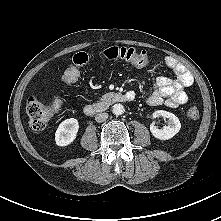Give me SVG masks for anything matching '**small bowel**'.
<instances>
[{"label": "small bowel", "mask_w": 221, "mask_h": 221, "mask_svg": "<svg viewBox=\"0 0 221 221\" xmlns=\"http://www.w3.org/2000/svg\"><path fill=\"white\" fill-rule=\"evenodd\" d=\"M165 65L174 73L175 78L159 77L153 91L147 96V103L151 105L166 104L169 107H177L188 101L185 91L193 83L190 72L173 57L165 58Z\"/></svg>", "instance_id": "small-bowel-1"}]
</instances>
